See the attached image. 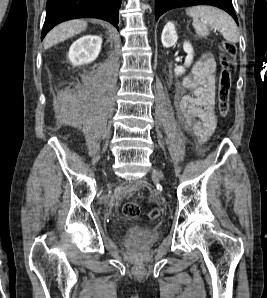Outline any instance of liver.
I'll return each mask as SVG.
<instances>
[{
  "instance_id": "6515ba94",
  "label": "liver",
  "mask_w": 267,
  "mask_h": 298,
  "mask_svg": "<svg viewBox=\"0 0 267 298\" xmlns=\"http://www.w3.org/2000/svg\"><path fill=\"white\" fill-rule=\"evenodd\" d=\"M87 28V22L84 20H71L53 28L45 37L44 48L48 49L62 41H65Z\"/></svg>"
}]
</instances>
